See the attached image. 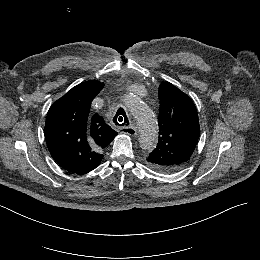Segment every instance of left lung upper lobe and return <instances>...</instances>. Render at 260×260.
Returning a JSON list of instances; mask_svg holds the SVG:
<instances>
[{
	"label": "left lung upper lobe",
	"instance_id": "1",
	"mask_svg": "<svg viewBox=\"0 0 260 260\" xmlns=\"http://www.w3.org/2000/svg\"><path fill=\"white\" fill-rule=\"evenodd\" d=\"M159 140L146 164L162 172H176L190 161L200 127L196 107L185 93L168 82L159 89Z\"/></svg>",
	"mask_w": 260,
	"mask_h": 260
}]
</instances>
